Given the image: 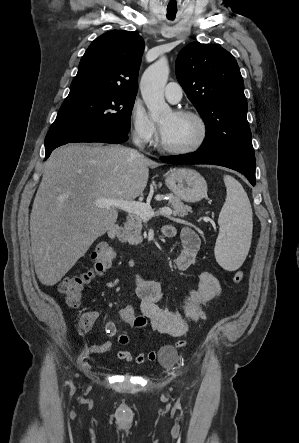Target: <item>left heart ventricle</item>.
I'll return each instance as SVG.
<instances>
[{
	"instance_id": "obj_1",
	"label": "left heart ventricle",
	"mask_w": 299,
	"mask_h": 443,
	"mask_svg": "<svg viewBox=\"0 0 299 443\" xmlns=\"http://www.w3.org/2000/svg\"><path fill=\"white\" fill-rule=\"evenodd\" d=\"M160 124H168L161 134L163 142L170 147H186L193 144L199 136V127L195 120L169 113L160 119Z\"/></svg>"
}]
</instances>
